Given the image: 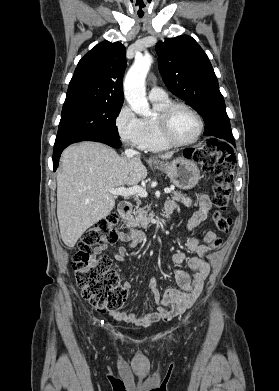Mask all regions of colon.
Wrapping results in <instances>:
<instances>
[{"label": "colon", "instance_id": "colon-1", "mask_svg": "<svg viewBox=\"0 0 279 391\" xmlns=\"http://www.w3.org/2000/svg\"><path fill=\"white\" fill-rule=\"evenodd\" d=\"M191 158L203 171L215 174L213 203L216 208L213 219L221 233H227L231 219L222 215L227 209L231 196V182L235 155L232 148L215 139L207 140L200 147L190 152ZM118 215L107 214L96 224L88 228L77 243V250L72 257V267L83 298L92 306L107 311L119 309L125 299L126 290L120 283L118 274L111 267V260L106 255L96 256L93 248L115 243L119 238L117 228ZM221 239L216 237L209 245V250L218 248Z\"/></svg>", "mask_w": 279, "mask_h": 391}]
</instances>
